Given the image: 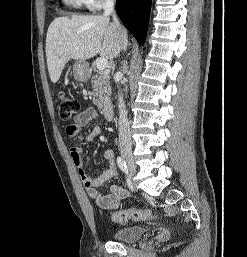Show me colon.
Segmentation results:
<instances>
[{
    "label": "colon",
    "mask_w": 247,
    "mask_h": 257,
    "mask_svg": "<svg viewBox=\"0 0 247 257\" xmlns=\"http://www.w3.org/2000/svg\"><path fill=\"white\" fill-rule=\"evenodd\" d=\"M56 103L60 118L65 122H70L81 112V105L77 99L65 92H59L56 97ZM152 212L148 209L140 210L129 208L116 211L112 214L113 221L117 223H127L128 221H142L149 219Z\"/></svg>",
    "instance_id": "5ec220e1"
}]
</instances>
